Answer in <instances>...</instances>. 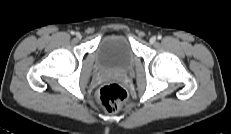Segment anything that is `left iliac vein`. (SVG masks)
Segmentation results:
<instances>
[{
  "label": "left iliac vein",
  "mask_w": 231,
  "mask_h": 134,
  "mask_svg": "<svg viewBox=\"0 0 231 134\" xmlns=\"http://www.w3.org/2000/svg\"><path fill=\"white\" fill-rule=\"evenodd\" d=\"M149 42L151 44H154L156 42V37L155 36L151 37L150 40H149Z\"/></svg>",
  "instance_id": "obj_1"
}]
</instances>
